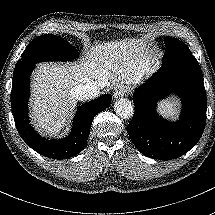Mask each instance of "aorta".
Masks as SVG:
<instances>
[{
	"label": "aorta",
	"mask_w": 215,
	"mask_h": 215,
	"mask_svg": "<svg viewBox=\"0 0 215 215\" xmlns=\"http://www.w3.org/2000/svg\"><path fill=\"white\" fill-rule=\"evenodd\" d=\"M115 112L124 120L133 118L135 110L133 104L127 99H119L114 106Z\"/></svg>",
	"instance_id": "aorta-1"
}]
</instances>
